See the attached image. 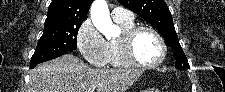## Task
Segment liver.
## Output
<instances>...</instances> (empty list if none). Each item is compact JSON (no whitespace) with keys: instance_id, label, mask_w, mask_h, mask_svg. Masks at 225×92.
<instances>
[{"instance_id":"6515ba94","label":"liver","mask_w":225,"mask_h":92,"mask_svg":"<svg viewBox=\"0 0 225 92\" xmlns=\"http://www.w3.org/2000/svg\"><path fill=\"white\" fill-rule=\"evenodd\" d=\"M143 71L139 69H94L80 58L66 54L38 65L30 72L28 92H126Z\"/></svg>"}]
</instances>
